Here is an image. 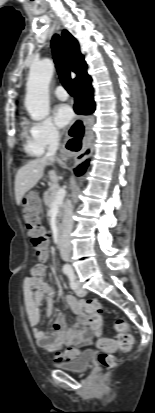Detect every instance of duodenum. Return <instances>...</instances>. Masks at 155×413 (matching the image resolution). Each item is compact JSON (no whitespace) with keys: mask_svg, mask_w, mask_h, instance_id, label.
<instances>
[{"mask_svg":"<svg viewBox=\"0 0 155 413\" xmlns=\"http://www.w3.org/2000/svg\"><path fill=\"white\" fill-rule=\"evenodd\" d=\"M62 231H63V225L60 223L56 231V246L59 252L62 251Z\"/></svg>","mask_w":155,"mask_h":413,"instance_id":"obj_1","label":"duodenum"}]
</instances>
